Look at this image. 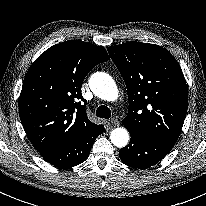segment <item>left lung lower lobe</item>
<instances>
[{
  "instance_id": "0a47b994",
  "label": "left lung lower lobe",
  "mask_w": 206,
  "mask_h": 206,
  "mask_svg": "<svg viewBox=\"0 0 206 206\" xmlns=\"http://www.w3.org/2000/svg\"><path fill=\"white\" fill-rule=\"evenodd\" d=\"M130 143L121 148V161L134 168L150 167L163 159L173 148L175 143L130 132Z\"/></svg>"
}]
</instances>
